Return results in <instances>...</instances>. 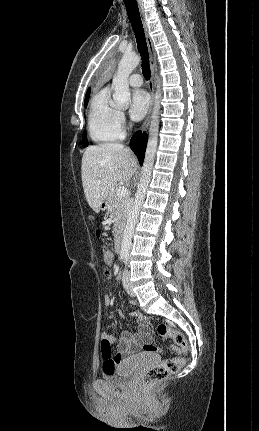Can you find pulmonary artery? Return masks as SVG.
Instances as JSON below:
<instances>
[{"label": "pulmonary artery", "instance_id": "obj_1", "mask_svg": "<svg viewBox=\"0 0 259 431\" xmlns=\"http://www.w3.org/2000/svg\"><path fill=\"white\" fill-rule=\"evenodd\" d=\"M128 82L132 87H140L143 83V80L139 74H133L129 77Z\"/></svg>", "mask_w": 259, "mask_h": 431}]
</instances>
